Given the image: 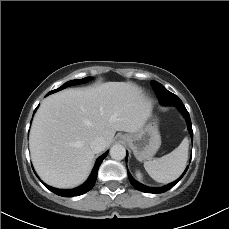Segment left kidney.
Returning <instances> with one entry per match:
<instances>
[{
  "mask_svg": "<svg viewBox=\"0 0 229 229\" xmlns=\"http://www.w3.org/2000/svg\"><path fill=\"white\" fill-rule=\"evenodd\" d=\"M136 176H137L139 179L142 178V175H141V173H140L139 171L136 173Z\"/></svg>",
  "mask_w": 229,
  "mask_h": 229,
  "instance_id": "left-kidney-1",
  "label": "left kidney"
}]
</instances>
